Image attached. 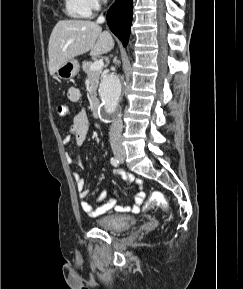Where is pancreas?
Masks as SVG:
<instances>
[{"label":"pancreas","instance_id":"pancreas-1","mask_svg":"<svg viewBox=\"0 0 243 289\" xmlns=\"http://www.w3.org/2000/svg\"><path fill=\"white\" fill-rule=\"evenodd\" d=\"M91 64L92 63L90 61H83L82 69L89 77L90 87H89L88 91L90 93L91 101H94L96 99V96H97L96 92H97V87H98V83H99V79H100V75H101L102 71L101 70L91 71L90 70Z\"/></svg>","mask_w":243,"mask_h":289}]
</instances>
